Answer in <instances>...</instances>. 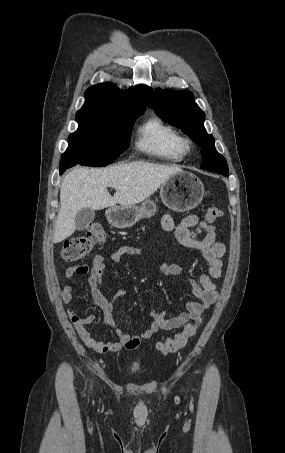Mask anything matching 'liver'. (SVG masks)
Wrapping results in <instances>:
<instances>
[{
    "instance_id": "liver-1",
    "label": "liver",
    "mask_w": 285,
    "mask_h": 453,
    "mask_svg": "<svg viewBox=\"0 0 285 453\" xmlns=\"http://www.w3.org/2000/svg\"><path fill=\"white\" fill-rule=\"evenodd\" d=\"M178 166L136 161L103 169L75 168L60 186V210L54 230V243L70 237L76 230L75 217L82 208L101 210L107 207L133 206L152 195ZM116 190L112 197L107 190Z\"/></svg>"
}]
</instances>
